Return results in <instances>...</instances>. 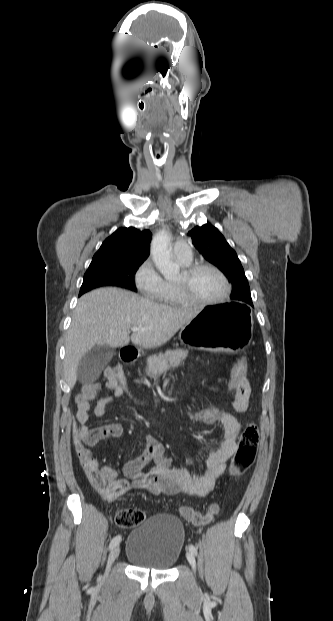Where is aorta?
Returning <instances> with one entry per match:
<instances>
[{
  "mask_svg": "<svg viewBox=\"0 0 333 621\" xmlns=\"http://www.w3.org/2000/svg\"><path fill=\"white\" fill-rule=\"evenodd\" d=\"M170 236L166 231L158 232L151 242V255L156 267L165 277L179 274V266L171 261Z\"/></svg>",
  "mask_w": 333,
  "mask_h": 621,
  "instance_id": "762f6f07",
  "label": "aorta"
}]
</instances>
